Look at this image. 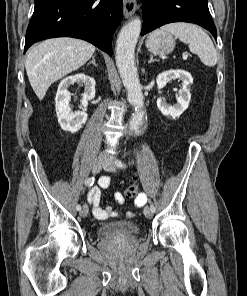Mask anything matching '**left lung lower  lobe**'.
Listing matches in <instances>:
<instances>
[{"mask_svg":"<svg viewBox=\"0 0 247 296\" xmlns=\"http://www.w3.org/2000/svg\"><path fill=\"white\" fill-rule=\"evenodd\" d=\"M144 35L164 24L189 22L198 24L214 36L217 30L208 9L207 0H142Z\"/></svg>","mask_w":247,"mask_h":296,"instance_id":"left-lung-lower-lobe-1","label":"left lung lower lobe"}]
</instances>
